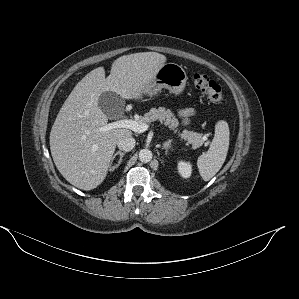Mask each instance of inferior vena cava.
Masks as SVG:
<instances>
[{"label":"inferior vena cava","mask_w":299,"mask_h":299,"mask_svg":"<svg viewBox=\"0 0 299 299\" xmlns=\"http://www.w3.org/2000/svg\"><path fill=\"white\" fill-rule=\"evenodd\" d=\"M135 143V139L131 135H123L117 141L118 148L125 152L131 151L135 147Z\"/></svg>","instance_id":"1"}]
</instances>
